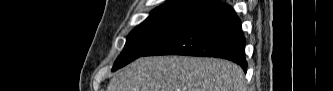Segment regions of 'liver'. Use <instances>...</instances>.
Returning a JSON list of instances; mask_svg holds the SVG:
<instances>
[{
  "instance_id": "liver-1",
  "label": "liver",
  "mask_w": 333,
  "mask_h": 91,
  "mask_svg": "<svg viewBox=\"0 0 333 91\" xmlns=\"http://www.w3.org/2000/svg\"><path fill=\"white\" fill-rule=\"evenodd\" d=\"M243 70L227 60L141 57L114 76L107 91H247Z\"/></svg>"
}]
</instances>
